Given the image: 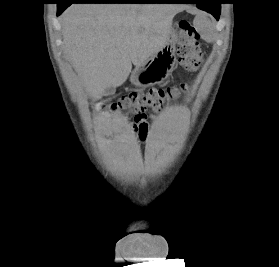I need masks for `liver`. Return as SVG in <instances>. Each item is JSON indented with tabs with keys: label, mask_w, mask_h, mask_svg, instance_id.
Instances as JSON below:
<instances>
[{
	"label": "liver",
	"mask_w": 279,
	"mask_h": 267,
	"mask_svg": "<svg viewBox=\"0 0 279 267\" xmlns=\"http://www.w3.org/2000/svg\"><path fill=\"white\" fill-rule=\"evenodd\" d=\"M171 4H75L62 18L65 54L85 91L98 97L127 80L132 64H144L170 38Z\"/></svg>",
	"instance_id": "1"
}]
</instances>
